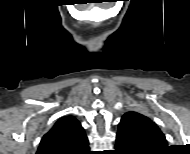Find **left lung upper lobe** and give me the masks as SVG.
Wrapping results in <instances>:
<instances>
[{"label":"left lung upper lobe","mask_w":190,"mask_h":154,"mask_svg":"<svg viewBox=\"0 0 190 154\" xmlns=\"http://www.w3.org/2000/svg\"><path fill=\"white\" fill-rule=\"evenodd\" d=\"M131 113L139 116L140 118H142V120L145 122V124L148 125V129L151 132L155 133L156 135H158L159 137H161L163 140L166 141L165 135L162 133V131L159 129V127L151 119H149L148 117H146V116H144V115H142L140 113H137V112H128L125 115L131 114Z\"/></svg>","instance_id":"1"}]
</instances>
